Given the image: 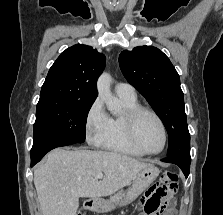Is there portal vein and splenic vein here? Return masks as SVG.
I'll return each instance as SVG.
<instances>
[{"label": "portal vein and splenic vein", "instance_id": "obj_1", "mask_svg": "<svg viewBox=\"0 0 223 215\" xmlns=\"http://www.w3.org/2000/svg\"><path fill=\"white\" fill-rule=\"evenodd\" d=\"M95 177H103V173H96Z\"/></svg>", "mask_w": 223, "mask_h": 215}]
</instances>
